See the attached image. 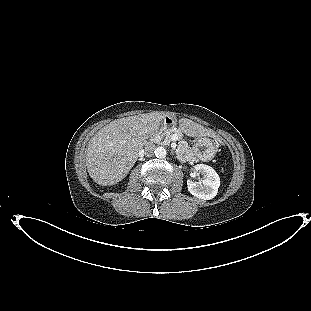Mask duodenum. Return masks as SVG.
Instances as JSON below:
<instances>
[{
	"label": "duodenum",
	"mask_w": 311,
	"mask_h": 311,
	"mask_svg": "<svg viewBox=\"0 0 311 311\" xmlns=\"http://www.w3.org/2000/svg\"><path fill=\"white\" fill-rule=\"evenodd\" d=\"M173 123H174V121H173V119L171 117H167L164 120V126H166V127L172 126Z\"/></svg>",
	"instance_id": "1"
}]
</instances>
